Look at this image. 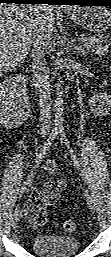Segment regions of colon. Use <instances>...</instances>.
Returning <instances> with one entry per match:
<instances>
[{
  "instance_id": "obj_1",
  "label": "colon",
  "mask_w": 111,
  "mask_h": 257,
  "mask_svg": "<svg viewBox=\"0 0 111 257\" xmlns=\"http://www.w3.org/2000/svg\"><path fill=\"white\" fill-rule=\"evenodd\" d=\"M77 228V224L74 220L72 219H68L66 221L63 222V229L66 231V232H73L75 231Z\"/></svg>"
}]
</instances>
